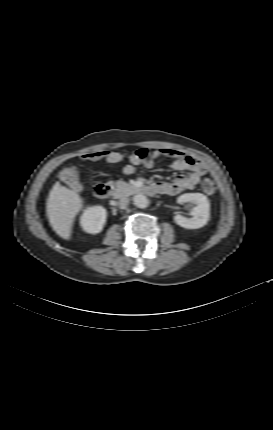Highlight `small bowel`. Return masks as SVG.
I'll use <instances>...</instances> for the list:
<instances>
[{
	"label": "small bowel",
	"instance_id": "obj_1",
	"mask_svg": "<svg viewBox=\"0 0 273 430\" xmlns=\"http://www.w3.org/2000/svg\"><path fill=\"white\" fill-rule=\"evenodd\" d=\"M161 156L173 158L174 160L171 164L172 168L177 171L187 170L189 174L187 176H179L172 182H153L150 186L154 188V192L156 193L177 195L182 191L192 190L199 184L201 177L206 174V166L196 157L167 148L151 150L141 148L133 152L127 156L130 164L124 167L123 172L126 175H131L137 172L138 166L152 167L154 161ZM125 158V154L115 151L93 153L83 156L85 160L103 161L108 164L119 163Z\"/></svg>",
	"mask_w": 273,
	"mask_h": 430
}]
</instances>
